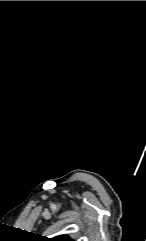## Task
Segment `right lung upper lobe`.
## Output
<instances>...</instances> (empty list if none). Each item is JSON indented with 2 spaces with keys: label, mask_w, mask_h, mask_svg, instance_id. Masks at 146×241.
I'll return each instance as SVG.
<instances>
[{
  "label": "right lung upper lobe",
  "mask_w": 146,
  "mask_h": 241,
  "mask_svg": "<svg viewBox=\"0 0 146 241\" xmlns=\"http://www.w3.org/2000/svg\"><path fill=\"white\" fill-rule=\"evenodd\" d=\"M48 241H74L70 239L67 235H60L54 238L47 239Z\"/></svg>",
  "instance_id": "cb5924a9"
}]
</instances>
